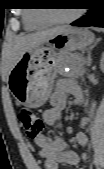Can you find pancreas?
Masks as SVG:
<instances>
[{"label": "pancreas", "instance_id": "pancreas-1", "mask_svg": "<svg viewBox=\"0 0 104 169\" xmlns=\"http://www.w3.org/2000/svg\"><path fill=\"white\" fill-rule=\"evenodd\" d=\"M84 61L79 55L69 54L63 59V67H69L70 71L62 74L65 76H82L84 74Z\"/></svg>", "mask_w": 104, "mask_h": 169}]
</instances>
